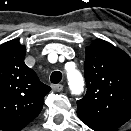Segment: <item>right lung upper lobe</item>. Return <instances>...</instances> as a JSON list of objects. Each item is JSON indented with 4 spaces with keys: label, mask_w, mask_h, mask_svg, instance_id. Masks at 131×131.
Listing matches in <instances>:
<instances>
[{
    "label": "right lung upper lobe",
    "mask_w": 131,
    "mask_h": 131,
    "mask_svg": "<svg viewBox=\"0 0 131 131\" xmlns=\"http://www.w3.org/2000/svg\"><path fill=\"white\" fill-rule=\"evenodd\" d=\"M26 49L17 40L0 46V130L20 131L40 113L51 88L24 63Z\"/></svg>",
    "instance_id": "obj_1"
}]
</instances>
